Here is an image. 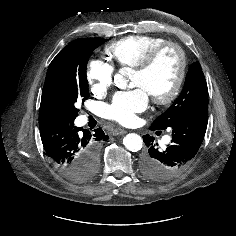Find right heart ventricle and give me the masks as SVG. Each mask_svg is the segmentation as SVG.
<instances>
[{
    "mask_svg": "<svg viewBox=\"0 0 236 236\" xmlns=\"http://www.w3.org/2000/svg\"><path fill=\"white\" fill-rule=\"evenodd\" d=\"M166 42L160 36L130 35L110 43L105 52L118 66L136 67L152 49Z\"/></svg>",
    "mask_w": 236,
    "mask_h": 236,
    "instance_id": "e07e8e85",
    "label": "right heart ventricle"
}]
</instances>
